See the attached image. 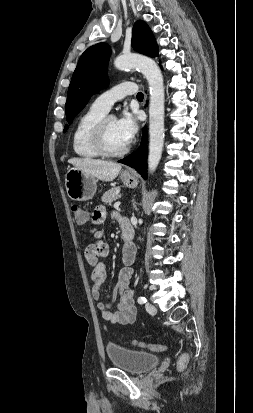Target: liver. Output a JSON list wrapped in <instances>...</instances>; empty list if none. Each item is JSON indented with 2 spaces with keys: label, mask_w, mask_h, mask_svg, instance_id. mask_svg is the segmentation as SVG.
<instances>
[{
  "label": "liver",
  "mask_w": 253,
  "mask_h": 413,
  "mask_svg": "<svg viewBox=\"0 0 253 413\" xmlns=\"http://www.w3.org/2000/svg\"><path fill=\"white\" fill-rule=\"evenodd\" d=\"M68 163L102 181L114 180L122 168L121 164L92 158H72Z\"/></svg>",
  "instance_id": "6515ba94"
}]
</instances>
